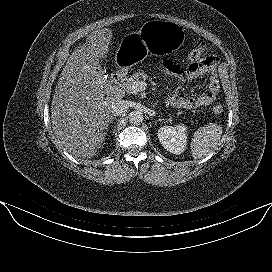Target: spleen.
Segmentation results:
<instances>
[{
    "label": "spleen",
    "mask_w": 272,
    "mask_h": 272,
    "mask_svg": "<svg viewBox=\"0 0 272 272\" xmlns=\"http://www.w3.org/2000/svg\"><path fill=\"white\" fill-rule=\"evenodd\" d=\"M222 126L217 123L200 127L193 135L191 153L194 159H202L216 149L222 136Z\"/></svg>",
    "instance_id": "1"
}]
</instances>
